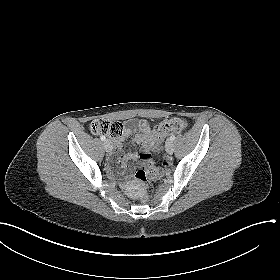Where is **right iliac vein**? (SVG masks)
I'll list each match as a JSON object with an SVG mask.
<instances>
[{
  "label": "right iliac vein",
  "mask_w": 280,
  "mask_h": 280,
  "mask_svg": "<svg viewBox=\"0 0 280 280\" xmlns=\"http://www.w3.org/2000/svg\"><path fill=\"white\" fill-rule=\"evenodd\" d=\"M104 148H105L106 152H111L112 148H113L112 143L109 140H105Z\"/></svg>",
  "instance_id": "63e3f726"
}]
</instances>
